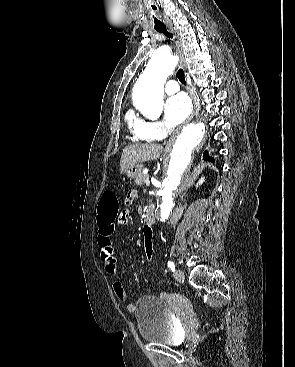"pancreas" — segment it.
<instances>
[{"instance_id": "obj_1", "label": "pancreas", "mask_w": 295, "mask_h": 367, "mask_svg": "<svg viewBox=\"0 0 295 367\" xmlns=\"http://www.w3.org/2000/svg\"><path fill=\"white\" fill-rule=\"evenodd\" d=\"M149 178L147 174L141 173L135 180V183L139 186H143L145 181Z\"/></svg>"}]
</instances>
